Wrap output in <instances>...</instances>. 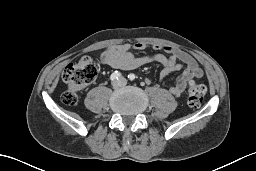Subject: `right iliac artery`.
<instances>
[{
  "label": "right iliac artery",
  "mask_w": 256,
  "mask_h": 171,
  "mask_svg": "<svg viewBox=\"0 0 256 171\" xmlns=\"http://www.w3.org/2000/svg\"><path fill=\"white\" fill-rule=\"evenodd\" d=\"M120 77H121V73L118 72V71H115L114 73L111 74L110 79H111L112 81H116V80H118Z\"/></svg>",
  "instance_id": "1"
}]
</instances>
